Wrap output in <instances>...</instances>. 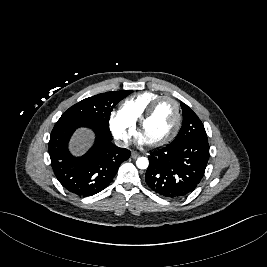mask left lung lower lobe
Segmentation results:
<instances>
[{
	"label": "left lung lower lobe",
	"mask_w": 267,
	"mask_h": 267,
	"mask_svg": "<svg viewBox=\"0 0 267 267\" xmlns=\"http://www.w3.org/2000/svg\"><path fill=\"white\" fill-rule=\"evenodd\" d=\"M145 180L157 194L177 199L201 181L209 159L208 141L189 139L150 153Z\"/></svg>",
	"instance_id": "0a47b994"
}]
</instances>
